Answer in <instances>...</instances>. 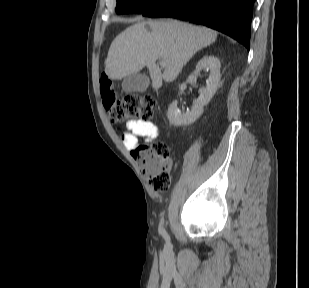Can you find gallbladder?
<instances>
[{
	"label": "gallbladder",
	"mask_w": 309,
	"mask_h": 288,
	"mask_svg": "<svg viewBox=\"0 0 309 288\" xmlns=\"http://www.w3.org/2000/svg\"><path fill=\"white\" fill-rule=\"evenodd\" d=\"M149 83V78L145 74L134 73L123 79L122 90L126 93L144 92Z\"/></svg>",
	"instance_id": "obj_1"
}]
</instances>
